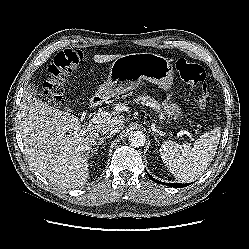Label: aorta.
I'll list each match as a JSON object with an SVG mask.
<instances>
[{"instance_id":"obj_1","label":"aorta","mask_w":249,"mask_h":249,"mask_svg":"<svg viewBox=\"0 0 249 249\" xmlns=\"http://www.w3.org/2000/svg\"><path fill=\"white\" fill-rule=\"evenodd\" d=\"M128 141L132 147H142L145 144L146 137L142 131H132L128 136Z\"/></svg>"}]
</instances>
